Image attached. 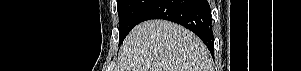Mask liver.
Segmentation results:
<instances>
[{
	"label": "liver",
	"mask_w": 301,
	"mask_h": 71,
	"mask_svg": "<svg viewBox=\"0 0 301 71\" xmlns=\"http://www.w3.org/2000/svg\"><path fill=\"white\" fill-rule=\"evenodd\" d=\"M117 71H211L203 42L182 26L150 20L135 26L123 42Z\"/></svg>",
	"instance_id": "6515ba94"
}]
</instances>
